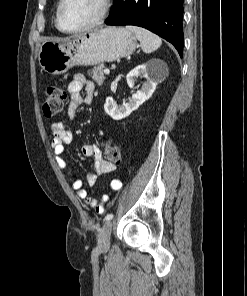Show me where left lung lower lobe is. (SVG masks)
Masks as SVG:
<instances>
[{
  "label": "left lung lower lobe",
  "instance_id": "obj_1",
  "mask_svg": "<svg viewBox=\"0 0 247 296\" xmlns=\"http://www.w3.org/2000/svg\"><path fill=\"white\" fill-rule=\"evenodd\" d=\"M184 0H114L107 25H136L172 43L183 55Z\"/></svg>",
  "mask_w": 247,
  "mask_h": 296
}]
</instances>
